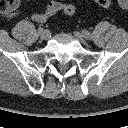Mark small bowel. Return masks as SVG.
<instances>
[{
  "instance_id": "c3829d8e",
  "label": "small bowel",
  "mask_w": 128,
  "mask_h": 128,
  "mask_svg": "<svg viewBox=\"0 0 128 128\" xmlns=\"http://www.w3.org/2000/svg\"><path fill=\"white\" fill-rule=\"evenodd\" d=\"M64 3L57 1V0H51L48 2L46 8L44 11L42 12H35L32 14V19L35 22L38 23H44L46 22L50 17H52L53 15H55L56 13L60 12L63 10L64 7ZM14 14H12L13 16ZM11 16V15H10Z\"/></svg>"
}]
</instances>
